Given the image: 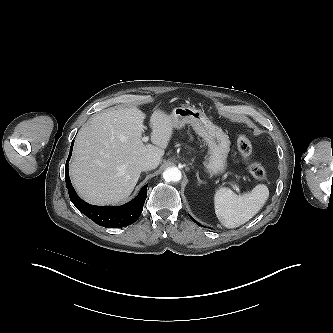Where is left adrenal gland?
Returning a JSON list of instances; mask_svg holds the SVG:
<instances>
[{"mask_svg":"<svg viewBox=\"0 0 333 333\" xmlns=\"http://www.w3.org/2000/svg\"><path fill=\"white\" fill-rule=\"evenodd\" d=\"M196 177H197V180H198V184H199V185L205 183L204 181H202V180L200 179V177H199V173H198V172L196 173Z\"/></svg>","mask_w":333,"mask_h":333,"instance_id":"a2214340","label":"left adrenal gland"}]
</instances>
